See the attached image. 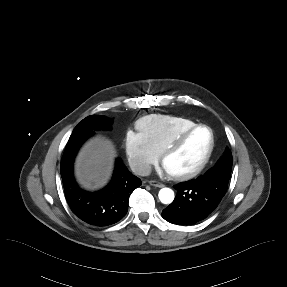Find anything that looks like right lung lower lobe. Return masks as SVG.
<instances>
[{"mask_svg":"<svg viewBox=\"0 0 287 287\" xmlns=\"http://www.w3.org/2000/svg\"><path fill=\"white\" fill-rule=\"evenodd\" d=\"M94 133V130L72 133L61 160L60 172L72 212L89 225L103 227L118 222L126 215L129 197L141 185V180L117 159L112 180L105 188L97 192L81 189L73 176V163L81 145Z\"/></svg>","mask_w":287,"mask_h":287,"instance_id":"98d812e1","label":"right lung lower lobe"}]
</instances>
